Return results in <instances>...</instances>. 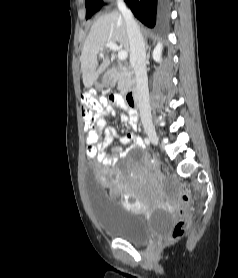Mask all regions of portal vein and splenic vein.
<instances>
[{"instance_id":"1","label":"portal vein and splenic vein","mask_w":238,"mask_h":278,"mask_svg":"<svg viewBox=\"0 0 238 278\" xmlns=\"http://www.w3.org/2000/svg\"><path fill=\"white\" fill-rule=\"evenodd\" d=\"M106 47L113 51H118V59L121 61L125 60L128 56L127 51L122 50V48L120 46H118L116 43L108 42V43H106ZM100 55H103L102 51H101Z\"/></svg>"}]
</instances>
